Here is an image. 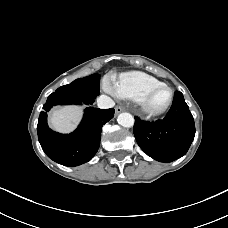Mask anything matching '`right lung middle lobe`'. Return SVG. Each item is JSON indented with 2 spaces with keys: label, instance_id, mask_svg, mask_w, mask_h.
Returning <instances> with one entry per match:
<instances>
[{
  "label": "right lung middle lobe",
  "instance_id": "right-lung-middle-lobe-1",
  "mask_svg": "<svg viewBox=\"0 0 228 228\" xmlns=\"http://www.w3.org/2000/svg\"><path fill=\"white\" fill-rule=\"evenodd\" d=\"M100 76L92 74L90 76L79 78L72 83L59 87L54 94H60L76 98L86 104H92L94 98L99 95Z\"/></svg>",
  "mask_w": 228,
  "mask_h": 228
}]
</instances>
